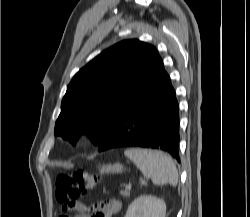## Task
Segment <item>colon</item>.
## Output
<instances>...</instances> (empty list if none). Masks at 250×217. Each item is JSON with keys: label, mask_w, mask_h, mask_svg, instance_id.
I'll use <instances>...</instances> for the list:
<instances>
[{"label": "colon", "mask_w": 250, "mask_h": 217, "mask_svg": "<svg viewBox=\"0 0 250 217\" xmlns=\"http://www.w3.org/2000/svg\"><path fill=\"white\" fill-rule=\"evenodd\" d=\"M99 181L96 174L88 171L77 170L60 174L56 179V196L59 202L66 208H74L77 205L86 206L81 202V197L93 189ZM90 217H103L102 205L92 204L89 207ZM66 217V216H63Z\"/></svg>", "instance_id": "colon-1"}]
</instances>
